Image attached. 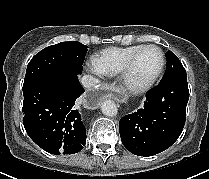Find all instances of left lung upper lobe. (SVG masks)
Returning a JSON list of instances; mask_svg holds the SVG:
<instances>
[{"label": "left lung upper lobe", "instance_id": "obj_1", "mask_svg": "<svg viewBox=\"0 0 209 179\" xmlns=\"http://www.w3.org/2000/svg\"><path fill=\"white\" fill-rule=\"evenodd\" d=\"M166 57L167 68L160 83H164L178 77L186 76V71L180 60L170 50L166 52Z\"/></svg>", "mask_w": 209, "mask_h": 179}]
</instances>
